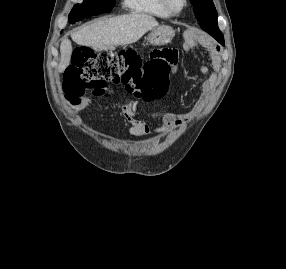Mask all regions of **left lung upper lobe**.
Masks as SVG:
<instances>
[{
  "mask_svg": "<svg viewBox=\"0 0 286 269\" xmlns=\"http://www.w3.org/2000/svg\"><path fill=\"white\" fill-rule=\"evenodd\" d=\"M194 13L202 29L213 36L218 42L224 44L223 34L218 28L217 11L212 0H191Z\"/></svg>",
  "mask_w": 286,
  "mask_h": 269,
  "instance_id": "left-lung-upper-lobe-1",
  "label": "left lung upper lobe"
}]
</instances>
